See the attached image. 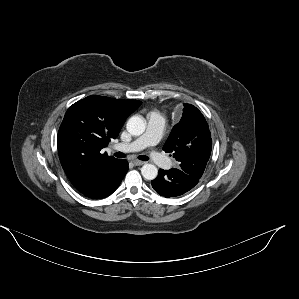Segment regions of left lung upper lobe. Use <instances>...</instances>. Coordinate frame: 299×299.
<instances>
[{"instance_id":"left-lung-upper-lobe-1","label":"left lung upper lobe","mask_w":299,"mask_h":299,"mask_svg":"<svg viewBox=\"0 0 299 299\" xmlns=\"http://www.w3.org/2000/svg\"><path fill=\"white\" fill-rule=\"evenodd\" d=\"M211 133L201 112L193 105L184 104L183 116L176 124L163 149L173 153L179 169L200 179L210 158Z\"/></svg>"}]
</instances>
